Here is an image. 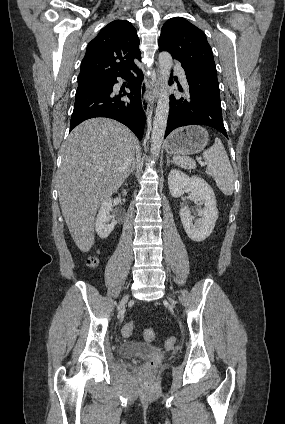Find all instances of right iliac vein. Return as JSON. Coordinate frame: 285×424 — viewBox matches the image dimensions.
<instances>
[{"label": "right iliac vein", "instance_id": "right-iliac-vein-1", "mask_svg": "<svg viewBox=\"0 0 285 424\" xmlns=\"http://www.w3.org/2000/svg\"><path fill=\"white\" fill-rule=\"evenodd\" d=\"M128 298H129V296H128V295H127V296H125V297L123 298V300H122V301H121V303H120V308L124 307V305H125V303L127 302Z\"/></svg>", "mask_w": 285, "mask_h": 424}]
</instances>
